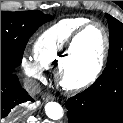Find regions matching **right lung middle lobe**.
<instances>
[{"label": "right lung middle lobe", "instance_id": "right-lung-middle-lobe-1", "mask_svg": "<svg viewBox=\"0 0 123 123\" xmlns=\"http://www.w3.org/2000/svg\"><path fill=\"white\" fill-rule=\"evenodd\" d=\"M53 19L41 11L1 12V71L14 72L20 65L32 34Z\"/></svg>", "mask_w": 123, "mask_h": 123}]
</instances>
